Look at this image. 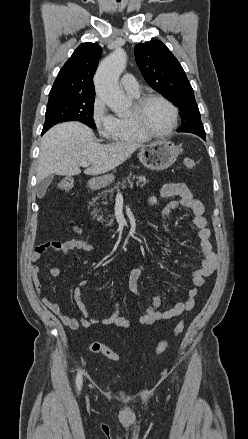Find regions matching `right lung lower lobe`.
Wrapping results in <instances>:
<instances>
[{
    "label": "right lung lower lobe",
    "instance_id": "98d812e1",
    "mask_svg": "<svg viewBox=\"0 0 248 439\" xmlns=\"http://www.w3.org/2000/svg\"><path fill=\"white\" fill-rule=\"evenodd\" d=\"M45 132H46V131L43 130V131H42V134H44Z\"/></svg>",
    "mask_w": 248,
    "mask_h": 439
}]
</instances>
